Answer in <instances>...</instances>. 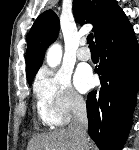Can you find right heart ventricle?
I'll list each match as a JSON object with an SVG mask.
<instances>
[{
	"label": "right heart ventricle",
	"instance_id": "1",
	"mask_svg": "<svg viewBox=\"0 0 139 150\" xmlns=\"http://www.w3.org/2000/svg\"><path fill=\"white\" fill-rule=\"evenodd\" d=\"M38 116H39L40 120H41L43 123L48 124V123H47V120H46V118H45V115L43 114V112H42V110L39 108V106H38Z\"/></svg>",
	"mask_w": 139,
	"mask_h": 150
}]
</instances>
